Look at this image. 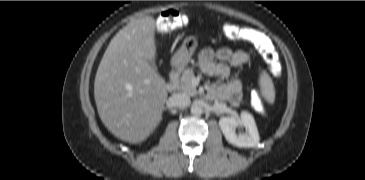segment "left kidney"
Returning <instances> with one entry per match:
<instances>
[{
	"mask_svg": "<svg viewBox=\"0 0 365 180\" xmlns=\"http://www.w3.org/2000/svg\"><path fill=\"white\" fill-rule=\"evenodd\" d=\"M219 126L226 140L237 147H254L259 143L260 137L253 116L243 111L240 117H222ZM244 127L245 132L240 129ZM238 129V132H236Z\"/></svg>",
	"mask_w": 365,
	"mask_h": 180,
	"instance_id": "1",
	"label": "left kidney"
}]
</instances>
